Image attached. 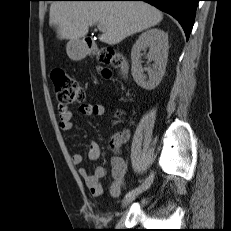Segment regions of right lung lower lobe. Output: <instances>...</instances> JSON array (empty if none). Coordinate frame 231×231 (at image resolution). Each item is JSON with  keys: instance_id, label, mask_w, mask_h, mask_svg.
Instances as JSON below:
<instances>
[{"instance_id": "obj_1", "label": "right lung lower lobe", "mask_w": 231, "mask_h": 231, "mask_svg": "<svg viewBox=\"0 0 231 231\" xmlns=\"http://www.w3.org/2000/svg\"><path fill=\"white\" fill-rule=\"evenodd\" d=\"M99 1H145L173 16L182 26L188 40L192 30L199 0H99Z\"/></svg>"}]
</instances>
